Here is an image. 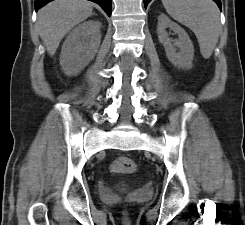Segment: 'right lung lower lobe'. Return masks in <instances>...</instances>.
<instances>
[{
    "mask_svg": "<svg viewBox=\"0 0 245 225\" xmlns=\"http://www.w3.org/2000/svg\"><path fill=\"white\" fill-rule=\"evenodd\" d=\"M52 0H35V10L37 11L39 8L47 4ZM97 4H99L103 10L108 14V16H111V0H90Z\"/></svg>",
    "mask_w": 245,
    "mask_h": 225,
    "instance_id": "obj_1",
    "label": "right lung lower lobe"
}]
</instances>
